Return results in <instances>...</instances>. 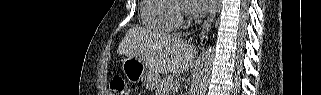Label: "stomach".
I'll list each match as a JSON object with an SVG mask.
<instances>
[{
  "label": "stomach",
  "instance_id": "stomach-1",
  "mask_svg": "<svg viewBox=\"0 0 321 95\" xmlns=\"http://www.w3.org/2000/svg\"><path fill=\"white\" fill-rule=\"evenodd\" d=\"M122 71L128 81L141 82L149 89L154 88L158 81V74L134 57L127 56L122 60Z\"/></svg>",
  "mask_w": 321,
  "mask_h": 95
}]
</instances>
